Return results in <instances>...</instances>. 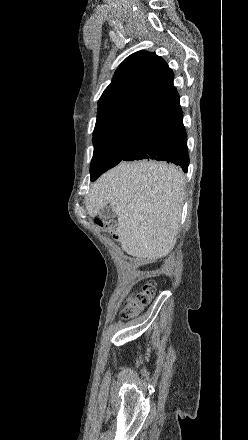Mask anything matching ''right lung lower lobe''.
Instances as JSON below:
<instances>
[{
    "mask_svg": "<svg viewBox=\"0 0 248 440\" xmlns=\"http://www.w3.org/2000/svg\"><path fill=\"white\" fill-rule=\"evenodd\" d=\"M142 159L172 162L187 172V135L179 100L150 115L130 131L122 160Z\"/></svg>",
    "mask_w": 248,
    "mask_h": 440,
    "instance_id": "1",
    "label": "right lung lower lobe"
}]
</instances>
